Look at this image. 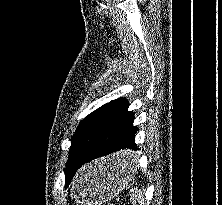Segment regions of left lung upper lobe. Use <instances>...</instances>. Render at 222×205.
Here are the masks:
<instances>
[{
  "instance_id": "obj_1",
  "label": "left lung upper lobe",
  "mask_w": 222,
  "mask_h": 205,
  "mask_svg": "<svg viewBox=\"0 0 222 205\" xmlns=\"http://www.w3.org/2000/svg\"><path fill=\"white\" fill-rule=\"evenodd\" d=\"M119 101L120 99H116L99 107L97 110L89 114L76 129L71 140L72 145L69 151V159L66 163L65 183L70 178L72 169L70 167L72 162L83 158L88 153L95 142L103 123Z\"/></svg>"
}]
</instances>
